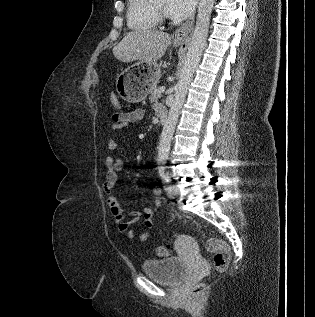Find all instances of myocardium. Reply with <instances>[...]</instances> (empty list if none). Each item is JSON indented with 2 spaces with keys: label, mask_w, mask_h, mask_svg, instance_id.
Masks as SVG:
<instances>
[{
  "label": "myocardium",
  "mask_w": 315,
  "mask_h": 317,
  "mask_svg": "<svg viewBox=\"0 0 315 317\" xmlns=\"http://www.w3.org/2000/svg\"><path fill=\"white\" fill-rule=\"evenodd\" d=\"M154 6V11L159 19V21H166L167 20V15L165 14V12L161 9H159L158 7Z\"/></svg>",
  "instance_id": "obj_1"
}]
</instances>
